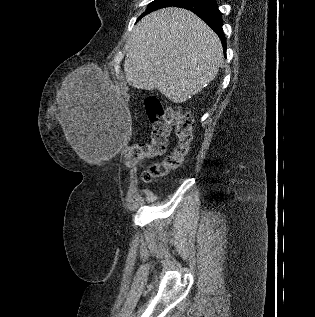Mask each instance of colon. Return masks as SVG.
<instances>
[{
	"instance_id": "colon-1",
	"label": "colon",
	"mask_w": 315,
	"mask_h": 317,
	"mask_svg": "<svg viewBox=\"0 0 315 317\" xmlns=\"http://www.w3.org/2000/svg\"><path fill=\"white\" fill-rule=\"evenodd\" d=\"M145 108L151 124L150 141L128 146L125 162L128 165H135L143 159L162 155L172 128L177 141L170 154L160 161L151 163L143 171V180L151 182L181 166L193 141V121L189 113L165 108L155 97L146 99Z\"/></svg>"
}]
</instances>
